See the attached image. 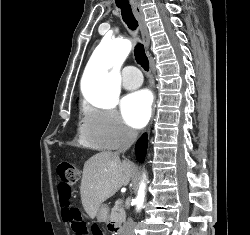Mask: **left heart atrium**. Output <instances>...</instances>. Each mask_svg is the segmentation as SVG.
<instances>
[{"label": "left heart atrium", "instance_id": "1", "mask_svg": "<svg viewBox=\"0 0 250 235\" xmlns=\"http://www.w3.org/2000/svg\"><path fill=\"white\" fill-rule=\"evenodd\" d=\"M152 97L146 90L127 95L121 102L122 115L131 127L142 128L150 118Z\"/></svg>", "mask_w": 250, "mask_h": 235}]
</instances>
